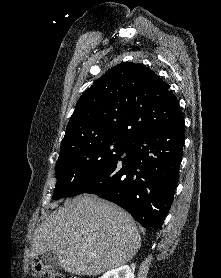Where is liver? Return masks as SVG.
<instances>
[{
  "instance_id": "liver-1",
  "label": "liver",
  "mask_w": 221,
  "mask_h": 278,
  "mask_svg": "<svg viewBox=\"0 0 221 278\" xmlns=\"http://www.w3.org/2000/svg\"><path fill=\"white\" fill-rule=\"evenodd\" d=\"M141 238L126 211L95 195L74 198L35 230L31 255L55 251L68 273L97 276L129 262Z\"/></svg>"
}]
</instances>
